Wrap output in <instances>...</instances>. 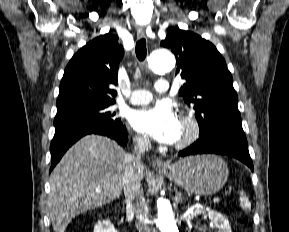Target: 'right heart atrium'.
<instances>
[{
	"mask_svg": "<svg viewBox=\"0 0 289 232\" xmlns=\"http://www.w3.org/2000/svg\"><path fill=\"white\" fill-rule=\"evenodd\" d=\"M135 142H136L137 146L140 148H145L148 145V140L141 135H138L135 137Z\"/></svg>",
	"mask_w": 289,
	"mask_h": 232,
	"instance_id": "d8ad5b80",
	"label": "right heart atrium"
}]
</instances>
